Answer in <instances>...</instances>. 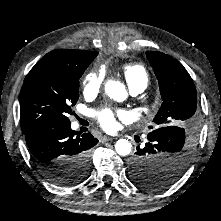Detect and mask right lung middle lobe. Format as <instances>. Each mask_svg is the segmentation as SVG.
<instances>
[{
    "label": "right lung middle lobe",
    "instance_id": "obj_1",
    "mask_svg": "<svg viewBox=\"0 0 221 221\" xmlns=\"http://www.w3.org/2000/svg\"><path fill=\"white\" fill-rule=\"evenodd\" d=\"M93 58L77 66L56 68L26 76L20 92L23 133L45 123H70L71 106L79 98V79ZM90 155L69 159L61 168L62 178L51 179L58 185L83 180L89 169ZM55 172V171H54Z\"/></svg>",
    "mask_w": 221,
    "mask_h": 221
}]
</instances>
